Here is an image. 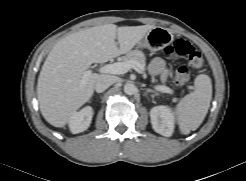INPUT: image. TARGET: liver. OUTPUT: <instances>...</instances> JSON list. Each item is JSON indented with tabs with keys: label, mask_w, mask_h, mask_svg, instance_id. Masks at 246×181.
<instances>
[{
	"label": "liver",
	"mask_w": 246,
	"mask_h": 181,
	"mask_svg": "<svg viewBox=\"0 0 246 181\" xmlns=\"http://www.w3.org/2000/svg\"><path fill=\"white\" fill-rule=\"evenodd\" d=\"M153 28V25L117 27L106 24L73 33L58 41L49 52L38 77L37 97L44 119L52 126L64 127L70 116L93 95L100 75L91 74L86 83L81 84L90 65L105 63L128 53Z\"/></svg>",
	"instance_id": "1"
}]
</instances>
